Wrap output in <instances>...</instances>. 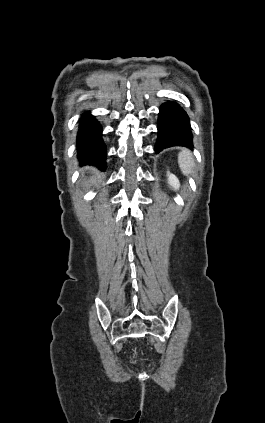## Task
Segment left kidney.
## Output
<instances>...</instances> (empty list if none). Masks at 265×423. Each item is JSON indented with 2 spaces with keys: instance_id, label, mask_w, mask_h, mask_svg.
<instances>
[{
  "instance_id": "1",
  "label": "left kidney",
  "mask_w": 265,
  "mask_h": 423,
  "mask_svg": "<svg viewBox=\"0 0 265 423\" xmlns=\"http://www.w3.org/2000/svg\"><path fill=\"white\" fill-rule=\"evenodd\" d=\"M167 176H168V184H169V185H170L173 189L178 190V189H179V187H180V183H179L178 178H177L175 175L170 174V172H169V171L167 172Z\"/></svg>"
}]
</instances>
